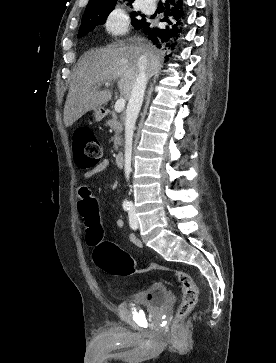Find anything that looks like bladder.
<instances>
[{"label":"bladder","mask_w":276,"mask_h":363,"mask_svg":"<svg viewBox=\"0 0 276 363\" xmlns=\"http://www.w3.org/2000/svg\"><path fill=\"white\" fill-rule=\"evenodd\" d=\"M168 299V289L164 285L152 284L145 290L138 291L130 298V302L148 308L164 305Z\"/></svg>","instance_id":"1"}]
</instances>
